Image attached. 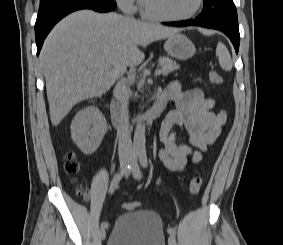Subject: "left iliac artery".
<instances>
[{
	"label": "left iliac artery",
	"mask_w": 283,
	"mask_h": 245,
	"mask_svg": "<svg viewBox=\"0 0 283 245\" xmlns=\"http://www.w3.org/2000/svg\"><path fill=\"white\" fill-rule=\"evenodd\" d=\"M139 161H140V164L142 165V167L144 168H147L148 166V161H147V154H146V150L144 148L140 149L139 150ZM168 233L172 236H175L176 235V229L171 227V228H168Z\"/></svg>",
	"instance_id": "44dca946"
}]
</instances>
